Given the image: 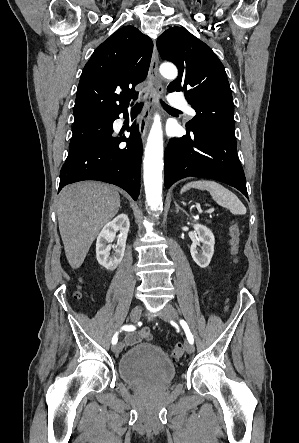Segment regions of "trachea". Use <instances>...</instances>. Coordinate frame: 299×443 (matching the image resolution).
Instances as JSON below:
<instances>
[{
    "mask_svg": "<svg viewBox=\"0 0 299 443\" xmlns=\"http://www.w3.org/2000/svg\"><path fill=\"white\" fill-rule=\"evenodd\" d=\"M161 103H162V105H163L164 109H166V110H175L174 108H172V107L168 106V105H167V104H165L164 102H162V101H161Z\"/></svg>",
    "mask_w": 299,
    "mask_h": 443,
    "instance_id": "obj_1",
    "label": "trachea"
}]
</instances>
